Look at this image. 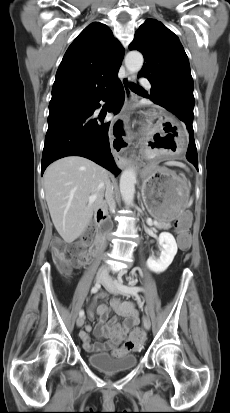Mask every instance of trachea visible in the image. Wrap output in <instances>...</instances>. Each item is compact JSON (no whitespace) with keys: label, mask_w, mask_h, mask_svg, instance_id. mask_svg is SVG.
<instances>
[{"label":"trachea","mask_w":230,"mask_h":413,"mask_svg":"<svg viewBox=\"0 0 230 413\" xmlns=\"http://www.w3.org/2000/svg\"><path fill=\"white\" fill-rule=\"evenodd\" d=\"M130 87H131V89H141V87H139V86H137V85H135L134 83H131L130 84Z\"/></svg>","instance_id":"3493384b"}]
</instances>
